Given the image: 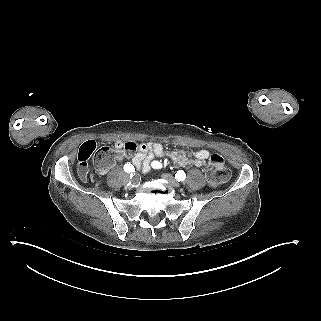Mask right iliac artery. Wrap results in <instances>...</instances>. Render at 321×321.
I'll return each mask as SVG.
<instances>
[{"label":"right iliac artery","instance_id":"1","mask_svg":"<svg viewBox=\"0 0 321 321\" xmlns=\"http://www.w3.org/2000/svg\"><path fill=\"white\" fill-rule=\"evenodd\" d=\"M134 170V167L131 163H126L124 165V171L125 172H132Z\"/></svg>","mask_w":321,"mask_h":321}]
</instances>
